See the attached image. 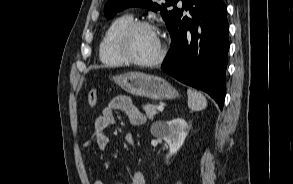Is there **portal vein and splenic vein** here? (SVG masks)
<instances>
[{"label":"portal vein and splenic vein","mask_w":293,"mask_h":184,"mask_svg":"<svg viewBox=\"0 0 293 184\" xmlns=\"http://www.w3.org/2000/svg\"><path fill=\"white\" fill-rule=\"evenodd\" d=\"M157 109H158L159 111H163V110H164V107H163V106H158Z\"/></svg>","instance_id":"1"}]
</instances>
